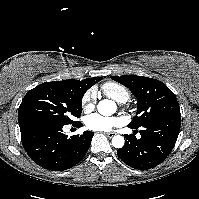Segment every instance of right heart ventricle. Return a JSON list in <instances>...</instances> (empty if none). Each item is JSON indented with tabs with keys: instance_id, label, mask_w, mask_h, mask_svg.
Returning <instances> with one entry per match:
<instances>
[{
	"instance_id": "e07e8e85",
	"label": "right heart ventricle",
	"mask_w": 199,
	"mask_h": 199,
	"mask_svg": "<svg viewBox=\"0 0 199 199\" xmlns=\"http://www.w3.org/2000/svg\"><path fill=\"white\" fill-rule=\"evenodd\" d=\"M102 89L105 95L121 103L126 102L130 97L129 89L118 83H106Z\"/></svg>"
}]
</instances>
